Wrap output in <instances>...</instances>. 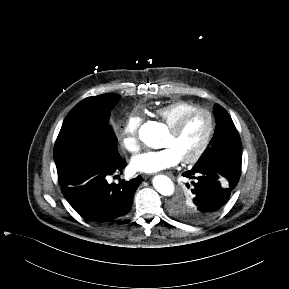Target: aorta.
I'll return each mask as SVG.
<instances>
[{"instance_id":"aorta-1","label":"aorta","mask_w":289,"mask_h":289,"mask_svg":"<svg viewBox=\"0 0 289 289\" xmlns=\"http://www.w3.org/2000/svg\"><path fill=\"white\" fill-rule=\"evenodd\" d=\"M166 129L163 124L152 121L144 124L140 131V139L149 147L158 149L161 147L162 138ZM153 186L164 196H171L174 193V184L171 179L164 175H158L153 179Z\"/></svg>"}]
</instances>
